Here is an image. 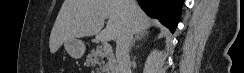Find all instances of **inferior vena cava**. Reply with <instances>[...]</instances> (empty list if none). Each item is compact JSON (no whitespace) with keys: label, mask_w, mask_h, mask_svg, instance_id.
<instances>
[{"label":"inferior vena cava","mask_w":244,"mask_h":73,"mask_svg":"<svg viewBox=\"0 0 244 73\" xmlns=\"http://www.w3.org/2000/svg\"><path fill=\"white\" fill-rule=\"evenodd\" d=\"M134 0H125V21L121 33L116 39V58L119 73H131L129 47L134 35Z\"/></svg>","instance_id":"602c4592"}]
</instances>
